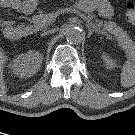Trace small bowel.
Instances as JSON below:
<instances>
[{"mask_svg": "<svg viewBox=\"0 0 135 135\" xmlns=\"http://www.w3.org/2000/svg\"><path fill=\"white\" fill-rule=\"evenodd\" d=\"M93 3L102 16H112L113 10L108 0H93ZM0 5L10 10H18L23 4L21 0H0Z\"/></svg>", "mask_w": 135, "mask_h": 135, "instance_id": "1", "label": "small bowel"}]
</instances>
